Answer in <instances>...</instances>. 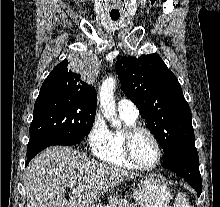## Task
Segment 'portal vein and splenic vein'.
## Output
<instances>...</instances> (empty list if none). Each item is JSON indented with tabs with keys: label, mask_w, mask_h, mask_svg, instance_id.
Masks as SVG:
<instances>
[{
	"label": "portal vein and splenic vein",
	"mask_w": 220,
	"mask_h": 207,
	"mask_svg": "<svg viewBox=\"0 0 220 207\" xmlns=\"http://www.w3.org/2000/svg\"><path fill=\"white\" fill-rule=\"evenodd\" d=\"M75 184H76V181L71 182L70 187H74Z\"/></svg>",
	"instance_id": "1"
}]
</instances>
